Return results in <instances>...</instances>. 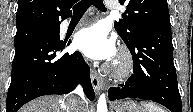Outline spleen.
<instances>
[{
  "label": "spleen",
  "instance_id": "obj_1",
  "mask_svg": "<svg viewBox=\"0 0 193 112\" xmlns=\"http://www.w3.org/2000/svg\"><path fill=\"white\" fill-rule=\"evenodd\" d=\"M141 105L147 110V112H164L159 106L151 102H141Z\"/></svg>",
  "mask_w": 193,
  "mask_h": 112
}]
</instances>
